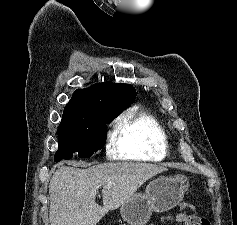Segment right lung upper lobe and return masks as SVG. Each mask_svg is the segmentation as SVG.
I'll return each mask as SVG.
<instances>
[{"label":"right lung upper lobe","instance_id":"1","mask_svg":"<svg viewBox=\"0 0 237 225\" xmlns=\"http://www.w3.org/2000/svg\"><path fill=\"white\" fill-rule=\"evenodd\" d=\"M136 94L132 85L111 82L78 89L65 106L62 120L84 123L100 111L119 114L135 100Z\"/></svg>","mask_w":237,"mask_h":225}]
</instances>
